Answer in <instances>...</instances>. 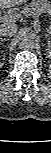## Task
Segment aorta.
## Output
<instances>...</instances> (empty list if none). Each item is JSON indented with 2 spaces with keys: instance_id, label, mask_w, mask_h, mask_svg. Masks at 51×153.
Segmentation results:
<instances>
[{
  "instance_id": "obj_1",
  "label": "aorta",
  "mask_w": 51,
  "mask_h": 153,
  "mask_svg": "<svg viewBox=\"0 0 51 153\" xmlns=\"http://www.w3.org/2000/svg\"><path fill=\"white\" fill-rule=\"evenodd\" d=\"M38 37L35 33L24 31L19 35L18 46L20 49L29 50L36 46Z\"/></svg>"
}]
</instances>
